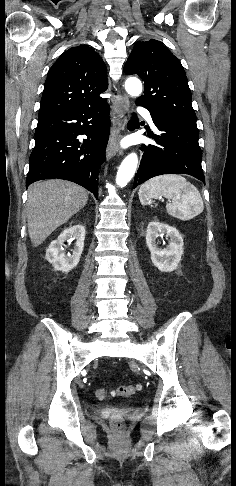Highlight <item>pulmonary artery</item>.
Here are the masks:
<instances>
[{"label":"pulmonary artery","instance_id":"obj_1","mask_svg":"<svg viewBox=\"0 0 236 486\" xmlns=\"http://www.w3.org/2000/svg\"><path fill=\"white\" fill-rule=\"evenodd\" d=\"M138 112L147 119V121L150 123L152 127L155 128L150 112L147 109L140 107L138 108Z\"/></svg>","mask_w":236,"mask_h":486}]
</instances>
